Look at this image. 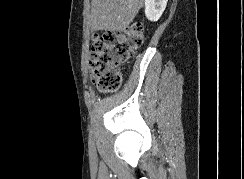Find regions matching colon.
Masks as SVG:
<instances>
[{
  "label": "colon",
  "instance_id": "1",
  "mask_svg": "<svg viewBox=\"0 0 244 179\" xmlns=\"http://www.w3.org/2000/svg\"><path fill=\"white\" fill-rule=\"evenodd\" d=\"M142 24L130 25L121 32L95 34L91 47V79L105 92H115L122 81V66L144 43Z\"/></svg>",
  "mask_w": 244,
  "mask_h": 179
}]
</instances>
